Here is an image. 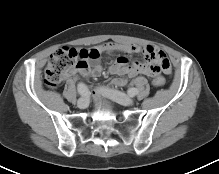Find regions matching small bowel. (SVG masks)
<instances>
[{"label":"small bowel","instance_id":"c3829d8e","mask_svg":"<svg viewBox=\"0 0 219 174\" xmlns=\"http://www.w3.org/2000/svg\"><path fill=\"white\" fill-rule=\"evenodd\" d=\"M91 50L97 51L98 56L96 58L89 56ZM91 50H81L87 57L84 58L81 65L77 68V72L84 77L98 76L101 73L102 67L99 62L101 53L112 54L120 52L123 54L109 67L111 74L125 76L115 79L113 81L115 86H125L128 82V78H133L140 74L154 77L158 75L160 71L167 74L171 73V65L166 55L160 49L152 45L137 46L122 43H107ZM137 53L143 54L152 63L131 62V56ZM163 59L165 60L164 63L162 62Z\"/></svg>","mask_w":219,"mask_h":174}]
</instances>
